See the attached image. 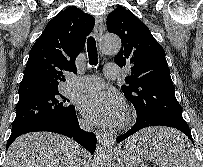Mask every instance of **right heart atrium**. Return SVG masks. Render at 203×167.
I'll list each match as a JSON object with an SVG mask.
<instances>
[{
  "instance_id": "d8ad5b80",
  "label": "right heart atrium",
  "mask_w": 203,
  "mask_h": 167,
  "mask_svg": "<svg viewBox=\"0 0 203 167\" xmlns=\"http://www.w3.org/2000/svg\"><path fill=\"white\" fill-rule=\"evenodd\" d=\"M81 125H82L83 127H86V126H87V123H86L85 121H81Z\"/></svg>"
}]
</instances>
